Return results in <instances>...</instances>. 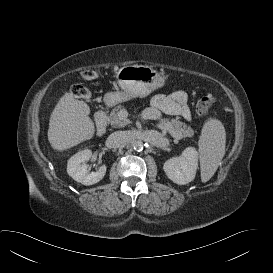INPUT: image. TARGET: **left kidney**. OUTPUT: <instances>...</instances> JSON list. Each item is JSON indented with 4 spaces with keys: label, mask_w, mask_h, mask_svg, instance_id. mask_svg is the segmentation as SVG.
Segmentation results:
<instances>
[{
    "label": "left kidney",
    "mask_w": 273,
    "mask_h": 273,
    "mask_svg": "<svg viewBox=\"0 0 273 273\" xmlns=\"http://www.w3.org/2000/svg\"><path fill=\"white\" fill-rule=\"evenodd\" d=\"M198 167V153L193 147L186 148L178 157L164 163L163 169L167 177L178 185L191 182Z\"/></svg>",
    "instance_id": "obj_1"
}]
</instances>
